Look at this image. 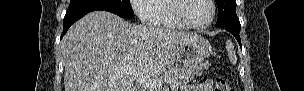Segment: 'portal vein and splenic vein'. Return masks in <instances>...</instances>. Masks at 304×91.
Instances as JSON below:
<instances>
[{"mask_svg": "<svg viewBox=\"0 0 304 91\" xmlns=\"http://www.w3.org/2000/svg\"><path fill=\"white\" fill-rule=\"evenodd\" d=\"M118 75H123V74H133L131 71L128 70V68L126 67H122L118 72H117ZM134 77H135V80L137 82H139L140 84L148 87V88H151V89H154L156 91L160 90V88H162L163 86V82L159 79H153V78H147V77H144L140 74H133ZM177 87L176 86H173L172 87V90L173 91H177Z\"/></svg>", "mask_w": 304, "mask_h": 91, "instance_id": "1", "label": "portal vein and splenic vein"}]
</instances>
